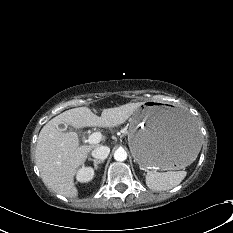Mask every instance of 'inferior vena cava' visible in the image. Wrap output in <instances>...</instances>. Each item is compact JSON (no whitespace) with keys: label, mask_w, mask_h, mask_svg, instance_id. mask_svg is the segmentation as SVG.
<instances>
[{"label":"inferior vena cava","mask_w":233,"mask_h":233,"mask_svg":"<svg viewBox=\"0 0 233 233\" xmlns=\"http://www.w3.org/2000/svg\"><path fill=\"white\" fill-rule=\"evenodd\" d=\"M110 148L107 146H98L92 151V156L99 160H104L108 157Z\"/></svg>","instance_id":"602c4592"}]
</instances>
